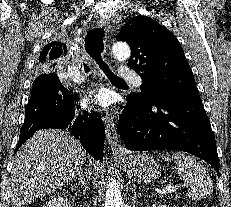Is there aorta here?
Segmentation results:
<instances>
[{
    "mask_svg": "<svg viewBox=\"0 0 231 207\" xmlns=\"http://www.w3.org/2000/svg\"><path fill=\"white\" fill-rule=\"evenodd\" d=\"M112 55L119 60L130 57L131 51L127 43L117 42L112 46ZM124 202L119 183L112 179L108 182L105 192L104 207H123Z\"/></svg>",
    "mask_w": 231,
    "mask_h": 207,
    "instance_id": "1",
    "label": "aorta"
}]
</instances>
